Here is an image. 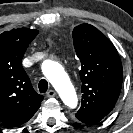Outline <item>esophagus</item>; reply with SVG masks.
I'll use <instances>...</instances> for the list:
<instances>
[{
	"mask_svg": "<svg viewBox=\"0 0 133 133\" xmlns=\"http://www.w3.org/2000/svg\"><path fill=\"white\" fill-rule=\"evenodd\" d=\"M56 96V92L54 90H50L47 92V97L51 98V97H54Z\"/></svg>",
	"mask_w": 133,
	"mask_h": 133,
	"instance_id": "obj_1",
	"label": "esophagus"
}]
</instances>
